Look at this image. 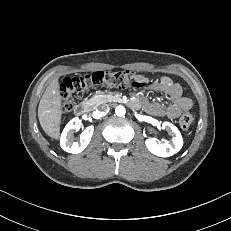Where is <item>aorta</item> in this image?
I'll return each instance as SVG.
<instances>
[{
    "label": "aorta",
    "instance_id": "762f6f07",
    "mask_svg": "<svg viewBox=\"0 0 231 231\" xmlns=\"http://www.w3.org/2000/svg\"><path fill=\"white\" fill-rule=\"evenodd\" d=\"M115 113H116V115L117 116H124L125 115V113H126V110H125V108L123 107V106H121V105H119V106H117L116 108H115Z\"/></svg>",
    "mask_w": 231,
    "mask_h": 231
}]
</instances>
